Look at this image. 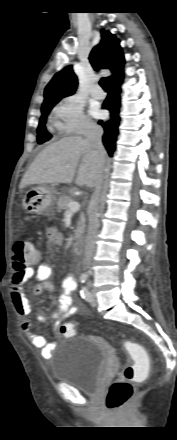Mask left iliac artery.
<instances>
[{"instance_id":"1","label":"left iliac artery","mask_w":177,"mask_h":440,"mask_svg":"<svg viewBox=\"0 0 177 440\" xmlns=\"http://www.w3.org/2000/svg\"><path fill=\"white\" fill-rule=\"evenodd\" d=\"M80 293H81V296H82L83 299H85L86 301L90 302L91 294L88 291L87 287H82Z\"/></svg>"}]
</instances>
